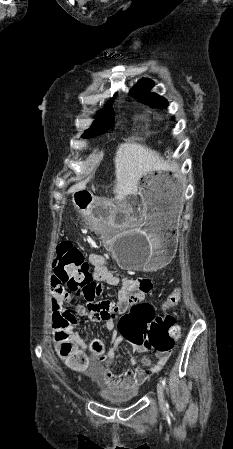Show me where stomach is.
<instances>
[{"label": "stomach", "instance_id": "0dacf381", "mask_svg": "<svg viewBox=\"0 0 233 449\" xmlns=\"http://www.w3.org/2000/svg\"><path fill=\"white\" fill-rule=\"evenodd\" d=\"M139 181L143 223L132 201L95 200L93 208L77 206L93 228H102L105 248L127 270L151 272L166 266L178 245L182 183L169 173H148Z\"/></svg>", "mask_w": 233, "mask_h": 449}]
</instances>
